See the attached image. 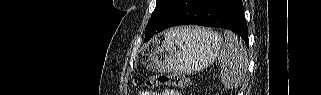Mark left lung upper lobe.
<instances>
[{
    "label": "left lung upper lobe",
    "instance_id": "obj_1",
    "mask_svg": "<svg viewBox=\"0 0 321 95\" xmlns=\"http://www.w3.org/2000/svg\"><path fill=\"white\" fill-rule=\"evenodd\" d=\"M175 1L176 0H157L155 10L153 11L151 19L145 28V40L154 35L158 26L163 21Z\"/></svg>",
    "mask_w": 321,
    "mask_h": 95
}]
</instances>
